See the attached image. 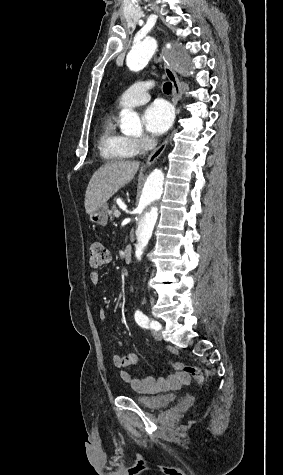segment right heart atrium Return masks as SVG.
<instances>
[{
    "mask_svg": "<svg viewBox=\"0 0 283 475\" xmlns=\"http://www.w3.org/2000/svg\"><path fill=\"white\" fill-rule=\"evenodd\" d=\"M151 146L152 141L146 136L136 139H129L128 141V148L132 155H143L151 148Z\"/></svg>",
    "mask_w": 283,
    "mask_h": 475,
    "instance_id": "obj_1",
    "label": "right heart atrium"
}]
</instances>
